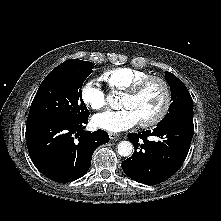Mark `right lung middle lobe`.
<instances>
[{
	"mask_svg": "<svg viewBox=\"0 0 221 221\" xmlns=\"http://www.w3.org/2000/svg\"><path fill=\"white\" fill-rule=\"evenodd\" d=\"M91 62L70 59L53 69L41 83L30 107L27 123L41 120L79 121L89 116L81 88L92 73Z\"/></svg>",
	"mask_w": 221,
	"mask_h": 221,
	"instance_id": "right-lung-middle-lobe-1",
	"label": "right lung middle lobe"
}]
</instances>
